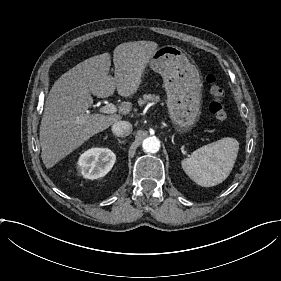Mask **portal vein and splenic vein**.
Wrapping results in <instances>:
<instances>
[{
  "label": "portal vein and splenic vein",
  "mask_w": 281,
  "mask_h": 281,
  "mask_svg": "<svg viewBox=\"0 0 281 281\" xmlns=\"http://www.w3.org/2000/svg\"><path fill=\"white\" fill-rule=\"evenodd\" d=\"M102 111L104 113H107V114H115L118 112V108L112 104V103H107L103 108H102Z\"/></svg>",
  "instance_id": "1"
}]
</instances>
